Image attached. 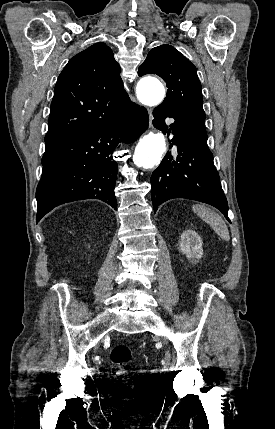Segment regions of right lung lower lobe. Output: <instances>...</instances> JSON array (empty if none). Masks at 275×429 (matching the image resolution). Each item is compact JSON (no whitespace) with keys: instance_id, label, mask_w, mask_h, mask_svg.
<instances>
[{"instance_id":"right-lung-lower-lobe-1","label":"right lung lower lobe","mask_w":275,"mask_h":429,"mask_svg":"<svg viewBox=\"0 0 275 429\" xmlns=\"http://www.w3.org/2000/svg\"><path fill=\"white\" fill-rule=\"evenodd\" d=\"M147 127L146 109L131 102L121 117L108 124L47 143L36 190V222L56 206L82 199H100L117 209L113 151L122 141L134 142Z\"/></svg>"}]
</instances>
